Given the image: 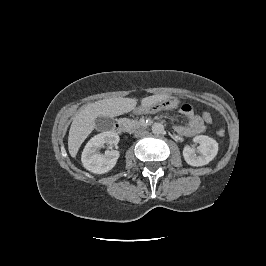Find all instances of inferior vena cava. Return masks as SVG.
I'll return each mask as SVG.
<instances>
[{"label":"inferior vena cava","instance_id":"1","mask_svg":"<svg viewBox=\"0 0 266 266\" xmlns=\"http://www.w3.org/2000/svg\"><path fill=\"white\" fill-rule=\"evenodd\" d=\"M147 131L144 128H139L134 132L135 137H141L142 135L146 134Z\"/></svg>","mask_w":266,"mask_h":266}]
</instances>
